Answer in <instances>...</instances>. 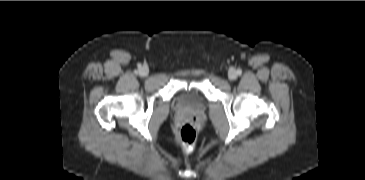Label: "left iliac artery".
<instances>
[{
    "label": "left iliac artery",
    "mask_w": 365,
    "mask_h": 180,
    "mask_svg": "<svg viewBox=\"0 0 365 180\" xmlns=\"http://www.w3.org/2000/svg\"><path fill=\"white\" fill-rule=\"evenodd\" d=\"M237 74H238V75H241V74H242V70L238 69V70H237Z\"/></svg>",
    "instance_id": "obj_1"
}]
</instances>
